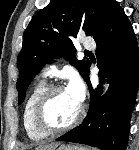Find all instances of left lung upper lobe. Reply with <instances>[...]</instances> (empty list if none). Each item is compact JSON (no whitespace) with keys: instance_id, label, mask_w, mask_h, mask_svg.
Instances as JSON below:
<instances>
[{"instance_id":"left-lung-upper-lobe-1","label":"left lung upper lobe","mask_w":139,"mask_h":150,"mask_svg":"<svg viewBox=\"0 0 139 150\" xmlns=\"http://www.w3.org/2000/svg\"><path fill=\"white\" fill-rule=\"evenodd\" d=\"M116 0H50L30 21L23 34V47L17 58L20 77L16 87L18 104L36 74L53 59L70 60L85 79L89 60L75 58L72 39L80 31L94 38L104 28Z\"/></svg>"}]
</instances>
